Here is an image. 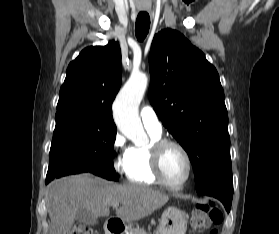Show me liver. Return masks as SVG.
<instances>
[{"label":"liver","mask_w":279,"mask_h":234,"mask_svg":"<svg viewBox=\"0 0 279 234\" xmlns=\"http://www.w3.org/2000/svg\"><path fill=\"white\" fill-rule=\"evenodd\" d=\"M169 201V196L142 185H120L90 174L63 177L48 189L47 210L51 220L49 234H68L78 207L96 217H108L113 203L122 206L116 216L132 222L151 215Z\"/></svg>","instance_id":"1"}]
</instances>
